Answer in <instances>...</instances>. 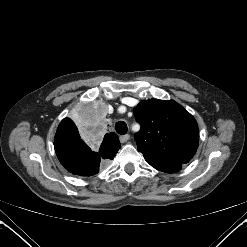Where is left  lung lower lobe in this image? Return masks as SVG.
<instances>
[{
    "instance_id": "obj_1",
    "label": "left lung lower lobe",
    "mask_w": 247,
    "mask_h": 247,
    "mask_svg": "<svg viewBox=\"0 0 247 247\" xmlns=\"http://www.w3.org/2000/svg\"><path fill=\"white\" fill-rule=\"evenodd\" d=\"M148 163L157 170L166 173L177 172L182 168L183 165V164H173V163H164V162H148Z\"/></svg>"
}]
</instances>
